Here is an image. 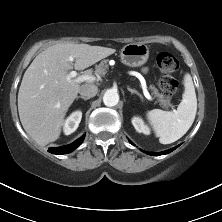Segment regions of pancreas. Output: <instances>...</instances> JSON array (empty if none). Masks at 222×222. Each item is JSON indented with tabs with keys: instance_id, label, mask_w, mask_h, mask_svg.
Masks as SVG:
<instances>
[{
	"instance_id": "obj_1",
	"label": "pancreas",
	"mask_w": 222,
	"mask_h": 222,
	"mask_svg": "<svg viewBox=\"0 0 222 222\" xmlns=\"http://www.w3.org/2000/svg\"><path fill=\"white\" fill-rule=\"evenodd\" d=\"M108 60H103L100 62L99 65H97L95 67V72L97 75L99 76H104L107 72V69H108ZM150 89L152 91V94L154 95V97H157L158 98V102L160 103V105L162 107H167V106H170V100L169 99H165L164 95L163 94H160L158 89L153 86V85H150Z\"/></svg>"
}]
</instances>
